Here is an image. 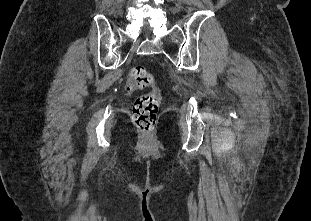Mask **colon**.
<instances>
[{
	"mask_svg": "<svg viewBox=\"0 0 311 221\" xmlns=\"http://www.w3.org/2000/svg\"><path fill=\"white\" fill-rule=\"evenodd\" d=\"M140 88H151V90L135 100L132 121L139 130L148 132L156 124L161 93L159 88L154 87V80L148 70L142 66L131 69L125 90L127 93H132Z\"/></svg>",
	"mask_w": 311,
	"mask_h": 221,
	"instance_id": "5ec220e1",
	"label": "colon"
}]
</instances>
